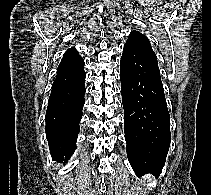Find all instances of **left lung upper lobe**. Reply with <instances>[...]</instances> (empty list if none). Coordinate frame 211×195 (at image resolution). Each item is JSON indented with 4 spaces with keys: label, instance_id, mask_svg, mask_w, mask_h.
Instances as JSON below:
<instances>
[{
    "label": "left lung upper lobe",
    "instance_id": "5c2ea615",
    "mask_svg": "<svg viewBox=\"0 0 211 195\" xmlns=\"http://www.w3.org/2000/svg\"><path fill=\"white\" fill-rule=\"evenodd\" d=\"M122 56L133 63H145L160 73L157 57L149 39L136 30L129 34Z\"/></svg>",
    "mask_w": 211,
    "mask_h": 195
}]
</instances>
